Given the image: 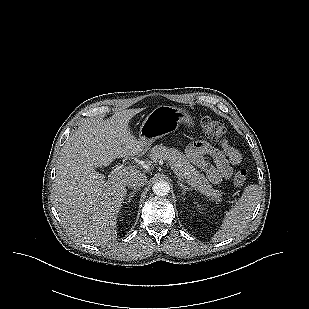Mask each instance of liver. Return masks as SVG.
I'll return each mask as SVG.
<instances>
[{
	"label": "liver",
	"mask_w": 309,
	"mask_h": 309,
	"mask_svg": "<svg viewBox=\"0 0 309 309\" xmlns=\"http://www.w3.org/2000/svg\"><path fill=\"white\" fill-rule=\"evenodd\" d=\"M142 109L115 113L107 120L85 121L67 140L56 167L54 205L68 232L77 240L105 246L117 238V216L125 199L126 179L107 181L96 167L108 166L116 158L144 155L146 145L129 130V121Z\"/></svg>",
	"instance_id": "1"
}]
</instances>
